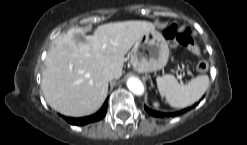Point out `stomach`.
Masks as SVG:
<instances>
[{
	"mask_svg": "<svg viewBox=\"0 0 247 145\" xmlns=\"http://www.w3.org/2000/svg\"><path fill=\"white\" fill-rule=\"evenodd\" d=\"M169 59V47L164 36L153 30L144 34L130 52V62L135 71L148 73L163 69Z\"/></svg>",
	"mask_w": 247,
	"mask_h": 145,
	"instance_id": "0dacf381",
	"label": "stomach"
}]
</instances>
